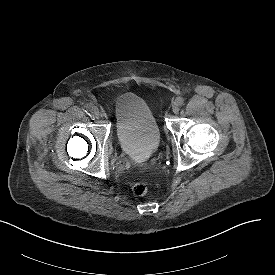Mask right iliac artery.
Wrapping results in <instances>:
<instances>
[{
  "instance_id": "1",
  "label": "right iliac artery",
  "mask_w": 275,
  "mask_h": 275,
  "mask_svg": "<svg viewBox=\"0 0 275 275\" xmlns=\"http://www.w3.org/2000/svg\"><path fill=\"white\" fill-rule=\"evenodd\" d=\"M93 107L94 106L92 104H87L86 105V110L91 112L93 110Z\"/></svg>"
}]
</instances>
